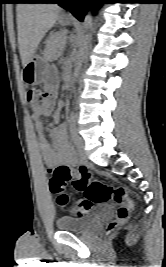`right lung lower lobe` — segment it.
<instances>
[{"label":"right lung lower lobe","instance_id":"98d812e1","mask_svg":"<svg viewBox=\"0 0 166 267\" xmlns=\"http://www.w3.org/2000/svg\"><path fill=\"white\" fill-rule=\"evenodd\" d=\"M51 0H28L26 3H48Z\"/></svg>","mask_w":166,"mask_h":267}]
</instances>
